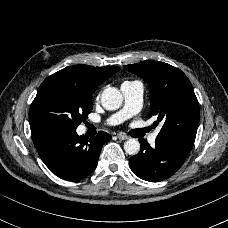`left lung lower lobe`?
Returning a JSON list of instances; mask_svg holds the SVG:
<instances>
[{
  "label": "left lung lower lobe",
  "instance_id": "0a47b994",
  "mask_svg": "<svg viewBox=\"0 0 228 228\" xmlns=\"http://www.w3.org/2000/svg\"><path fill=\"white\" fill-rule=\"evenodd\" d=\"M139 142L140 152L130 158L129 166L136 176L150 182L162 181L176 173L192 149V145L158 137L153 147L142 138Z\"/></svg>",
  "mask_w": 228,
  "mask_h": 228
}]
</instances>
